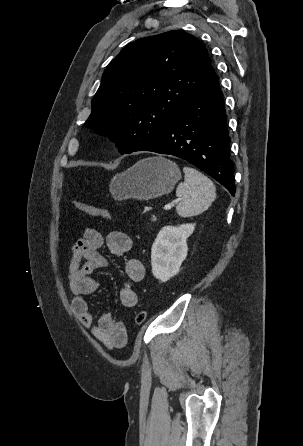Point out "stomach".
Returning a JSON list of instances; mask_svg holds the SVG:
<instances>
[{
    "instance_id": "1",
    "label": "stomach",
    "mask_w": 303,
    "mask_h": 446,
    "mask_svg": "<svg viewBox=\"0 0 303 446\" xmlns=\"http://www.w3.org/2000/svg\"><path fill=\"white\" fill-rule=\"evenodd\" d=\"M180 179L176 163L161 156L149 157L115 175L109 187L112 197L118 201L150 200L170 193Z\"/></svg>"
}]
</instances>
